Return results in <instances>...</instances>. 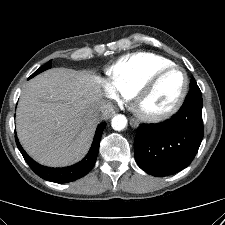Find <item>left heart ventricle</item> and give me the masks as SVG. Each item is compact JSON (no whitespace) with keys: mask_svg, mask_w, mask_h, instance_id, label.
<instances>
[{"mask_svg":"<svg viewBox=\"0 0 225 225\" xmlns=\"http://www.w3.org/2000/svg\"><path fill=\"white\" fill-rule=\"evenodd\" d=\"M182 84L180 72L164 76L154 90L144 99L142 107L148 112H158L167 108L176 98Z\"/></svg>","mask_w":225,"mask_h":225,"instance_id":"left-heart-ventricle-1","label":"left heart ventricle"}]
</instances>
